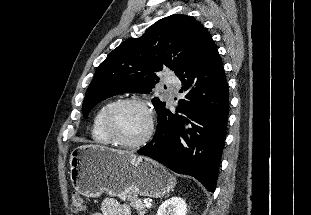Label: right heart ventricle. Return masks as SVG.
Wrapping results in <instances>:
<instances>
[{"instance_id": "right-heart-ventricle-1", "label": "right heart ventricle", "mask_w": 311, "mask_h": 215, "mask_svg": "<svg viewBox=\"0 0 311 215\" xmlns=\"http://www.w3.org/2000/svg\"><path fill=\"white\" fill-rule=\"evenodd\" d=\"M116 101H108L102 104L96 111L93 117L92 127H91V135L93 140L96 143L102 144V145H108L112 144L113 142L111 139L107 136L106 132L103 128V119L106 111L108 108Z\"/></svg>"}]
</instances>
